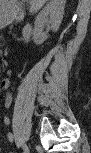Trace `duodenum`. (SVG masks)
I'll use <instances>...</instances> for the list:
<instances>
[{
    "instance_id": "duodenum-1",
    "label": "duodenum",
    "mask_w": 91,
    "mask_h": 153,
    "mask_svg": "<svg viewBox=\"0 0 91 153\" xmlns=\"http://www.w3.org/2000/svg\"><path fill=\"white\" fill-rule=\"evenodd\" d=\"M14 16H20V12L13 11L11 13V17H14ZM32 32H33L32 26L30 24L26 23L21 30L22 43L25 44V43L29 42L31 35H32Z\"/></svg>"
}]
</instances>
